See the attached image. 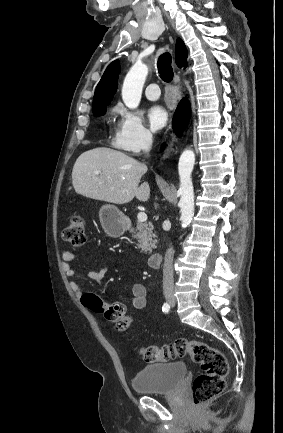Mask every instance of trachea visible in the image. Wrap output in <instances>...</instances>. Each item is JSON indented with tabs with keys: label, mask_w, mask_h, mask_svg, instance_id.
I'll return each mask as SVG.
<instances>
[{
	"label": "trachea",
	"mask_w": 283,
	"mask_h": 433,
	"mask_svg": "<svg viewBox=\"0 0 283 433\" xmlns=\"http://www.w3.org/2000/svg\"><path fill=\"white\" fill-rule=\"evenodd\" d=\"M171 63H172V57L170 53H168L167 51L162 55H160L157 61V68H158L159 75L161 79L166 83H170L174 76Z\"/></svg>",
	"instance_id": "1"
}]
</instances>
